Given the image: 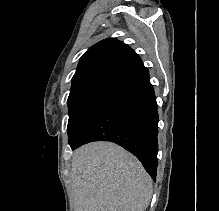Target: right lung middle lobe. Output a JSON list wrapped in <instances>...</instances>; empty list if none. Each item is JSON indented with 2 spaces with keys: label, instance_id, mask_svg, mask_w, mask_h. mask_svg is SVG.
<instances>
[{
  "label": "right lung middle lobe",
  "instance_id": "dd1d6c3e",
  "mask_svg": "<svg viewBox=\"0 0 219 211\" xmlns=\"http://www.w3.org/2000/svg\"><path fill=\"white\" fill-rule=\"evenodd\" d=\"M112 87H97L68 98V139L72 145Z\"/></svg>",
  "mask_w": 219,
  "mask_h": 211
}]
</instances>
